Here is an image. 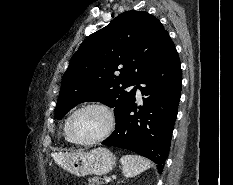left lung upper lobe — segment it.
I'll return each instance as SVG.
<instances>
[{
    "instance_id": "5c2ea615",
    "label": "left lung upper lobe",
    "mask_w": 233,
    "mask_h": 185,
    "mask_svg": "<svg viewBox=\"0 0 233 185\" xmlns=\"http://www.w3.org/2000/svg\"><path fill=\"white\" fill-rule=\"evenodd\" d=\"M169 38L161 22L145 11L118 15L88 36L71 58L55 117L61 119L81 102L99 101L115 108L119 122L135 99L136 88L125 89L140 79Z\"/></svg>"
}]
</instances>
